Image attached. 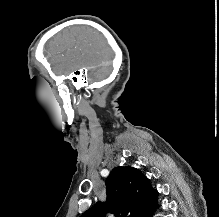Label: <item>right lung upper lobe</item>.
Wrapping results in <instances>:
<instances>
[{
	"label": "right lung upper lobe",
	"mask_w": 219,
	"mask_h": 217,
	"mask_svg": "<svg viewBox=\"0 0 219 217\" xmlns=\"http://www.w3.org/2000/svg\"><path fill=\"white\" fill-rule=\"evenodd\" d=\"M106 194L105 204L97 203L81 217H105L106 210L116 217H152L157 207V190L133 167L114 168L106 180Z\"/></svg>",
	"instance_id": "cb5924a9"
}]
</instances>
